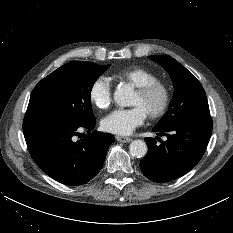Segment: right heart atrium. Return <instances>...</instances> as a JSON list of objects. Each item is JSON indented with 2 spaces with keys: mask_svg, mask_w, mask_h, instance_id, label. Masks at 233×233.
<instances>
[{
  "mask_svg": "<svg viewBox=\"0 0 233 233\" xmlns=\"http://www.w3.org/2000/svg\"><path fill=\"white\" fill-rule=\"evenodd\" d=\"M89 100L97 109H107L112 102V85L109 79L99 77L93 81L89 89Z\"/></svg>",
  "mask_w": 233,
  "mask_h": 233,
  "instance_id": "1",
  "label": "right heart atrium"
}]
</instances>
